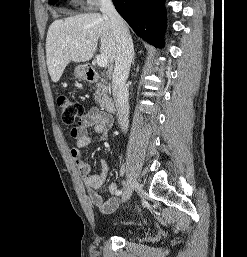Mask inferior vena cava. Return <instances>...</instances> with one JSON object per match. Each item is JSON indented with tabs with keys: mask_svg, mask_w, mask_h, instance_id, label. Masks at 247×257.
Segmentation results:
<instances>
[{
	"mask_svg": "<svg viewBox=\"0 0 247 257\" xmlns=\"http://www.w3.org/2000/svg\"><path fill=\"white\" fill-rule=\"evenodd\" d=\"M100 10L109 17L117 43V54L112 75V91L122 132L129 126V103L126 80L134 56L132 38L123 18L116 11L112 0H101Z\"/></svg>",
	"mask_w": 247,
	"mask_h": 257,
	"instance_id": "1",
	"label": "inferior vena cava"
}]
</instances>
